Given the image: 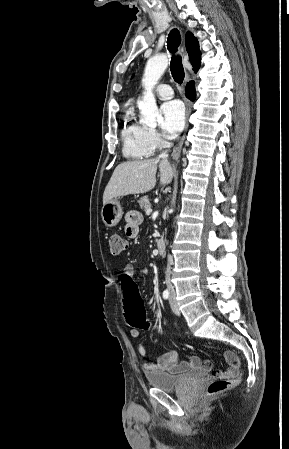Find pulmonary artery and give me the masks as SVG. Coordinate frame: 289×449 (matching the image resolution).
<instances>
[{
    "mask_svg": "<svg viewBox=\"0 0 289 449\" xmlns=\"http://www.w3.org/2000/svg\"><path fill=\"white\" fill-rule=\"evenodd\" d=\"M155 93L162 99H170L173 97V90L167 84H160L156 87Z\"/></svg>",
    "mask_w": 289,
    "mask_h": 449,
    "instance_id": "pulmonary-artery-1",
    "label": "pulmonary artery"
}]
</instances>
